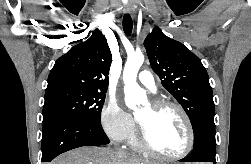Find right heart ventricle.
<instances>
[{
  "instance_id": "obj_1",
  "label": "right heart ventricle",
  "mask_w": 251,
  "mask_h": 164,
  "mask_svg": "<svg viewBox=\"0 0 251 164\" xmlns=\"http://www.w3.org/2000/svg\"><path fill=\"white\" fill-rule=\"evenodd\" d=\"M129 143L132 146V148L135 149L136 151H139V152L143 151L135 133L130 137Z\"/></svg>"
}]
</instances>
